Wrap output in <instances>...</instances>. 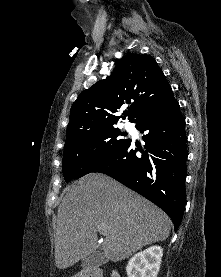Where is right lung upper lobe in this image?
<instances>
[{"label":"right lung upper lobe","instance_id":"1","mask_svg":"<svg viewBox=\"0 0 221 277\" xmlns=\"http://www.w3.org/2000/svg\"><path fill=\"white\" fill-rule=\"evenodd\" d=\"M170 90L152 57L128 54L118 62L110 77L78 96L70 110L66 140L85 130L117 124L120 117L114 113L125 105H129L128 119L133 122Z\"/></svg>","mask_w":221,"mask_h":277}]
</instances>
